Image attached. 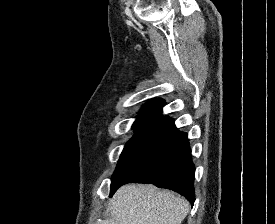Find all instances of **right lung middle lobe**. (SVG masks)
<instances>
[{"label":"right lung middle lobe","mask_w":275,"mask_h":224,"mask_svg":"<svg viewBox=\"0 0 275 224\" xmlns=\"http://www.w3.org/2000/svg\"><path fill=\"white\" fill-rule=\"evenodd\" d=\"M163 118L161 113H141L134 122L132 129L136 130L135 135L126 144L118 165L113 173V176L122 168L127 159L131 156L134 150L141 144V142L147 137L149 132L157 125V123Z\"/></svg>","instance_id":"dd1d6c3e"}]
</instances>
